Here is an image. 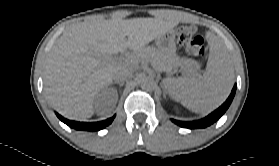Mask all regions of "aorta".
Masks as SVG:
<instances>
[{
    "mask_svg": "<svg viewBox=\"0 0 279 166\" xmlns=\"http://www.w3.org/2000/svg\"><path fill=\"white\" fill-rule=\"evenodd\" d=\"M154 87V81L150 78H145L141 81V88L145 90H151Z\"/></svg>",
    "mask_w": 279,
    "mask_h": 166,
    "instance_id": "762f6f07",
    "label": "aorta"
}]
</instances>
